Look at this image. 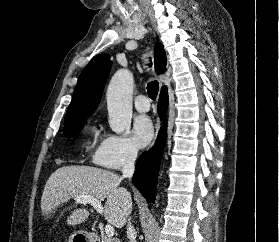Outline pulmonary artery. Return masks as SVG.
I'll return each mask as SVG.
<instances>
[{
    "mask_svg": "<svg viewBox=\"0 0 279 242\" xmlns=\"http://www.w3.org/2000/svg\"><path fill=\"white\" fill-rule=\"evenodd\" d=\"M134 105L139 112H147L150 110V102L145 95H138L134 100Z\"/></svg>",
    "mask_w": 279,
    "mask_h": 242,
    "instance_id": "e3ab8cb5",
    "label": "pulmonary artery"
}]
</instances>
